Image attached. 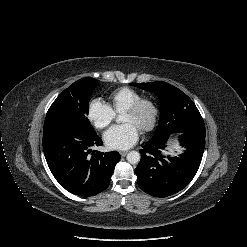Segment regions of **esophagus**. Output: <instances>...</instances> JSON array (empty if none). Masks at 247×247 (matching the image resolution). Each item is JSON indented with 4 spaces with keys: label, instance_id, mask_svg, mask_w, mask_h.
Returning <instances> with one entry per match:
<instances>
[{
    "label": "esophagus",
    "instance_id": "1",
    "mask_svg": "<svg viewBox=\"0 0 247 247\" xmlns=\"http://www.w3.org/2000/svg\"><path fill=\"white\" fill-rule=\"evenodd\" d=\"M119 153H120V155H121L122 157H124V156L127 155V152H126V151H120Z\"/></svg>",
    "mask_w": 247,
    "mask_h": 247
}]
</instances>
